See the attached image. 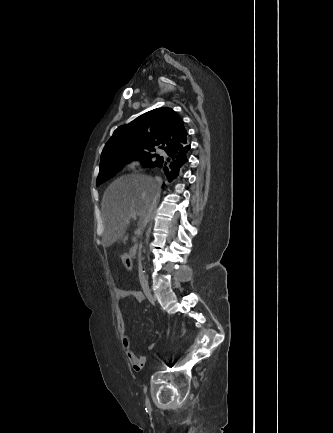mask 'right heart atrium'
Returning a JSON list of instances; mask_svg holds the SVG:
<instances>
[{"mask_svg":"<svg viewBox=\"0 0 333 433\" xmlns=\"http://www.w3.org/2000/svg\"><path fill=\"white\" fill-rule=\"evenodd\" d=\"M129 168L133 172H138L143 168V164H142L141 160L134 158V159L130 160Z\"/></svg>","mask_w":333,"mask_h":433,"instance_id":"obj_1","label":"right heart atrium"}]
</instances>
